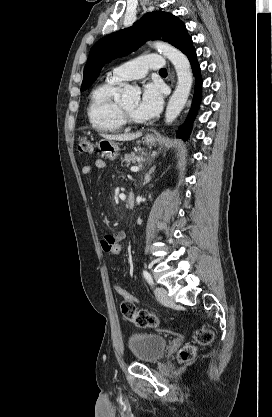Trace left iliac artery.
Instances as JSON below:
<instances>
[{"mask_svg":"<svg viewBox=\"0 0 272 417\" xmlns=\"http://www.w3.org/2000/svg\"><path fill=\"white\" fill-rule=\"evenodd\" d=\"M143 276H144V278L146 279V281L151 285V286H153V279H152V277H151V275H150V273L148 272V271H146V270H143Z\"/></svg>","mask_w":272,"mask_h":417,"instance_id":"44dca946","label":"left iliac artery"}]
</instances>
